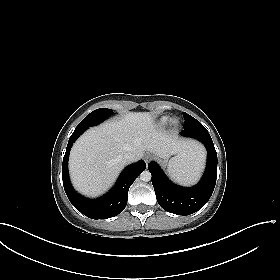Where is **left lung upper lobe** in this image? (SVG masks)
Returning <instances> with one entry per match:
<instances>
[{"instance_id": "5c2ea615", "label": "left lung upper lobe", "mask_w": 280, "mask_h": 280, "mask_svg": "<svg viewBox=\"0 0 280 280\" xmlns=\"http://www.w3.org/2000/svg\"><path fill=\"white\" fill-rule=\"evenodd\" d=\"M184 116V130H194L205 128L198 120L190 116L189 114L183 112Z\"/></svg>"}]
</instances>
